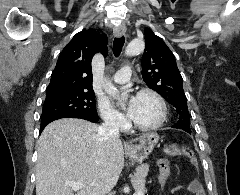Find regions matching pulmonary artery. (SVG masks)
<instances>
[{
	"label": "pulmonary artery",
	"instance_id": "e3ab8cb5",
	"mask_svg": "<svg viewBox=\"0 0 240 195\" xmlns=\"http://www.w3.org/2000/svg\"><path fill=\"white\" fill-rule=\"evenodd\" d=\"M131 75L132 72L128 71V66H121V71H116V74L114 75V80L117 83H124L130 79Z\"/></svg>",
	"mask_w": 240,
	"mask_h": 195
}]
</instances>
